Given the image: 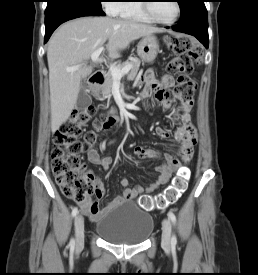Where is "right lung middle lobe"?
Returning a JSON list of instances; mask_svg holds the SVG:
<instances>
[{
  "mask_svg": "<svg viewBox=\"0 0 258 275\" xmlns=\"http://www.w3.org/2000/svg\"><path fill=\"white\" fill-rule=\"evenodd\" d=\"M63 2H79V3H87L89 5L102 8L101 0H49L47 7L54 6Z\"/></svg>",
  "mask_w": 258,
  "mask_h": 275,
  "instance_id": "dd1d6c3e",
  "label": "right lung middle lobe"
}]
</instances>
